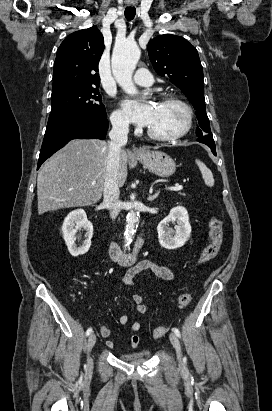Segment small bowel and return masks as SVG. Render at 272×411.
<instances>
[{"mask_svg": "<svg viewBox=\"0 0 272 411\" xmlns=\"http://www.w3.org/2000/svg\"><path fill=\"white\" fill-rule=\"evenodd\" d=\"M143 271H150L156 277L165 281H173L175 279L173 271L166 264L158 263L150 259H145L137 262L132 267H130L125 275L121 277V282L131 289H136L137 283L135 277L137 274ZM132 300L136 304V310L138 313L146 314L148 312V305L145 302V298L141 294L134 292L132 294ZM118 321L121 325H125L129 322V317L123 314L119 317ZM140 328L141 324L138 321L133 322L130 326V330L134 333L130 338V347L133 349L136 348L140 343V337L137 334ZM99 331L101 336L104 338H108L112 334L111 329L104 324H100ZM106 346L112 349L115 347V344L112 340H107Z\"/></svg>", "mask_w": 272, "mask_h": 411, "instance_id": "1", "label": "small bowel"}]
</instances>
